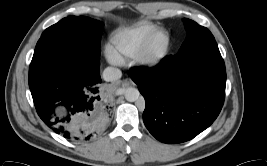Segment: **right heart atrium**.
Wrapping results in <instances>:
<instances>
[{
    "label": "right heart atrium",
    "instance_id": "1",
    "mask_svg": "<svg viewBox=\"0 0 267 166\" xmlns=\"http://www.w3.org/2000/svg\"><path fill=\"white\" fill-rule=\"evenodd\" d=\"M106 55H107V58L112 62H117L119 60L116 53L110 48H107Z\"/></svg>",
    "mask_w": 267,
    "mask_h": 166
}]
</instances>
